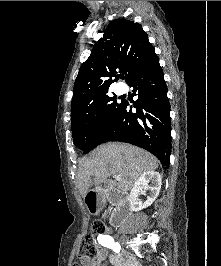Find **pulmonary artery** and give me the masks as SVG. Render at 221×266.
Segmentation results:
<instances>
[{"mask_svg": "<svg viewBox=\"0 0 221 266\" xmlns=\"http://www.w3.org/2000/svg\"><path fill=\"white\" fill-rule=\"evenodd\" d=\"M122 92V90H118V93H121Z\"/></svg>", "mask_w": 221, "mask_h": 266, "instance_id": "pulmonary-artery-1", "label": "pulmonary artery"}]
</instances>
